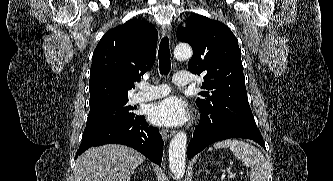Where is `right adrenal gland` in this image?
Instances as JSON below:
<instances>
[{
  "label": "right adrenal gland",
  "mask_w": 333,
  "mask_h": 181,
  "mask_svg": "<svg viewBox=\"0 0 333 181\" xmlns=\"http://www.w3.org/2000/svg\"><path fill=\"white\" fill-rule=\"evenodd\" d=\"M143 170H144V169H142V168L139 169V171H141V172H142Z\"/></svg>",
  "instance_id": "1"
}]
</instances>
